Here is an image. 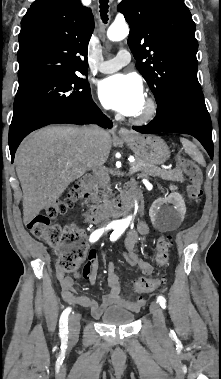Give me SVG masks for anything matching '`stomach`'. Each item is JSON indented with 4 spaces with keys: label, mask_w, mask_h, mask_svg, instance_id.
Instances as JSON below:
<instances>
[{
    "label": "stomach",
    "mask_w": 221,
    "mask_h": 379,
    "mask_svg": "<svg viewBox=\"0 0 221 379\" xmlns=\"http://www.w3.org/2000/svg\"><path fill=\"white\" fill-rule=\"evenodd\" d=\"M123 140L134 152L137 159H141L149 165L163 164L170 157L169 147L158 136L131 133Z\"/></svg>",
    "instance_id": "obj_1"
}]
</instances>
